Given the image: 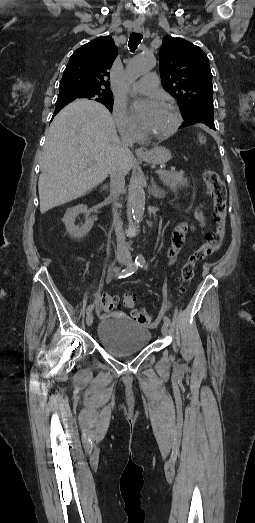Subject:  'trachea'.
Segmentation results:
<instances>
[{"label": "trachea", "instance_id": "obj_1", "mask_svg": "<svg viewBox=\"0 0 255 523\" xmlns=\"http://www.w3.org/2000/svg\"><path fill=\"white\" fill-rule=\"evenodd\" d=\"M143 36L141 33L132 32L129 37V48L130 51L134 52L141 42Z\"/></svg>", "mask_w": 255, "mask_h": 523}]
</instances>
